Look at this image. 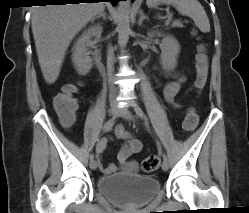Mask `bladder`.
<instances>
[{
  "instance_id": "1",
  "label": "bladder",
  "mask_w": 249,
  "mask_h": 213,
  "mask_svg": "<svg viewBox=\"0 0 249 213\" xmlns=\"http://www.w3.org/2000/svg\"><path fill=\"white\" fill-rule=\"evenodd\" d=\"M97 189L117 205L135 207L149 202L160 191V184L151 176L119 172L100 177Z\"/></svg>"
}]
</instances>
